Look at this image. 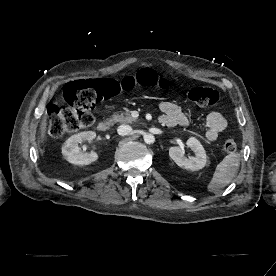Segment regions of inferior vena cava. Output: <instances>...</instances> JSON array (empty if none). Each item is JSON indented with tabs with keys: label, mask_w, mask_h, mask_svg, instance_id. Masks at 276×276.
I'll return each instance as SVG.
<instances>
[{
	"label": "inferior vena cava",
	"mask_w": 276,
	"mask_h": 276,
	"mask_svg": "<svg viewBox=\"0 0 276 276\" xmlns=\"http://www.w3.org/2000/svg\"><path fill=\"white\" fill-rule=\"evenodd\" d=\"M132 131V127L129 125H120L117 132L120 136L128 135Z\"/></svg>",
	"instance_id": "602c4592"
}]
</instances>
